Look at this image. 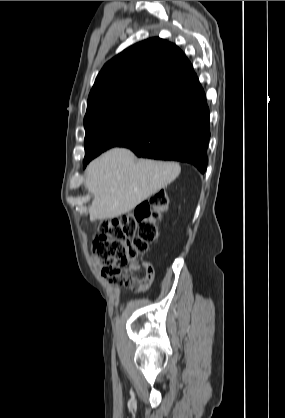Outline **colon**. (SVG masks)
Wrapping results in <instances>:
<instances>
[{
	"label": "colon",
	"instance_id": "5ec220e1",
	"mask_svg": "<svg viewBox=\"0 0 285 418\" xmlns=\"http://www.w3.org/2000/svg\"><path fill=\"white\" fill-rule=\"evenodd\" d=\"M169 206V192L160 190L121 219L98 224L91 249L100 261L101 276L110 284L119 283L123 270L138 265L148 254L160 234L157 219L169 210Z\"/></svg>",
	"mask_w": 285,
	"mask_h": 418
}]
</instances>
